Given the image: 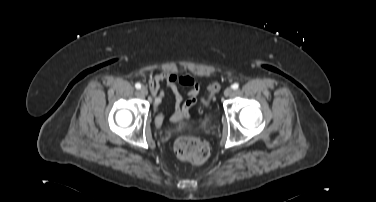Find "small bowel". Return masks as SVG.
<instances>
[{
    "instance_id": "c3829d8e",
    "label": "small bowel",
    "mask_w": 376,
    "mask_h": 202,
    "mask_svg": "<svg viewBox=\"0 0 376 202\" xmlns=\"http://www.w3.org/2000/svg\"><path fill=\"white\" fill-rule=\"evenodd\" d=\"M162 84H166L174 95V111L171 115V120L178 122L183 118H187L191 107H193L197 101V96L201 88L199 82L190 75L178 76L172 71H164L157 74L155 77L150 78L148 80V86L154 97L153 104L157 110L165 96ZM180 87L185 89V93L188 97L186 100L183 99ZM163 118L164 113L159 111L156 116V123L160 125Z\"/></svg>"
}]
</instances>
